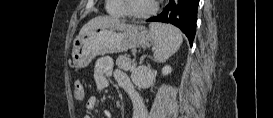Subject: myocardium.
<instances>
[{"instance_id": "obj_1", "label": "myocardium", "mask_w": 273, "mask_h": 118, "mask_svg": "<svg viewBox=\"0 0 273 118\" xmlns=\"http://www.w3.org/2000/svg\"><path fill=\"white\" fill-rule=\"evenodd\" d=\"M123 4L126 10V14L129 15L130 17L137 18V19L149 18L153 16L159 8L157 0H154L152 6L145 12H136L131 10L129 0H123Z\"/></svg>"}]
</instances>
